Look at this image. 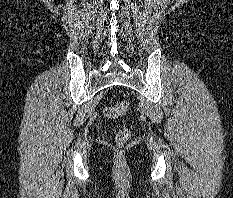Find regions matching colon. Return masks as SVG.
I'll use <instances>...</instances> for the list:
<instances>
[{"mask_svg":"<svg viewBox=\"0 0 233 198\" xmlns=\"http://www.w3.org/2000/svg\"><path fill=\"white\" fill-rule=\"evenodd\" d=\"M129 105L125 101H121L112 106H107L104 108V115L108 118H118L126 114ZM131 131L127 127H122L119 129L115 136V141L119 146L125 145L130 139Z\"/></svg>","mask_w":233,"mask_h":198,"instance_id":"obj_1","label":"colon"}]
</instances>
